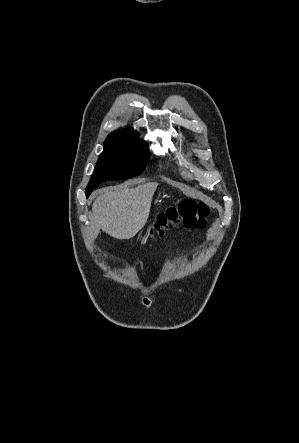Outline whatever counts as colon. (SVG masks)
I'll use <instances>...</instances> for the list:
<instances>
[{
  "label": "colon",
  "mask_w": 299,
  "mask_h": 443,
  "mask_svg": "<svg viewBox=\"0 0 299 443\" xmlns=\"http://www.w3.org/2000/svg\"><path fill=\"white\" fill-rule=\"evenodd\" d=\"M209 213L210 208L207 204L185 199L178 205L161 212L142 238L160 237L172 227L202 228L206 224Z\"/></svg>",
  "instance_id": "1"
}]
</instances>
